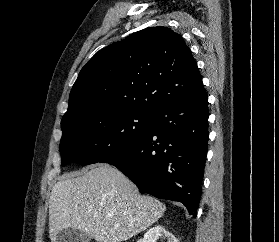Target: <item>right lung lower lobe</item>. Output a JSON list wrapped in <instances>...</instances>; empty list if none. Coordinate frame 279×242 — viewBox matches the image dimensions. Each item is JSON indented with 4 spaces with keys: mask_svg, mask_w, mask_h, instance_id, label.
I'll return each instance as SVG.
<instances>
[{
    "mask_svg": "<svg viewBox=\"0 0 279 242\" xmlns=\"http://www.w3.org/2000/svg\"><path fill=\"white\" fill-rule=\"evenodd\" d=\"M208 96H196L154 112L148 134L100 162L114 165L141 193L179 201L195 218L208 148Z\"/></svg>",
    "mask_w": 279,
    "mask_h": 242,
    "instance_id": "98d812e1",
    "label": "right lung lower lobe"
}]
</instances>
